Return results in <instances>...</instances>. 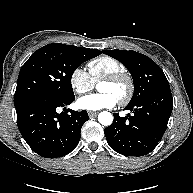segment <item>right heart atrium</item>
Masks as SVG:
<instances>
[{
	"label": "right heart atrium",
	"mask_w": 193,
	"mask_h": 193,
	"mask_svg": "<svg viewBox=\"0 0 193 193\" xmlns=\"http://www.w3.org/2000/svg\"><path fill=\"white\" fill-rule=\"evenodd\" d=\"M69 84L75 93L83 94L92 89L94 82L85 69L76 67L70 73Z\"/></svg>",
	"instance_id": "obj_1"
}]
</instances>
